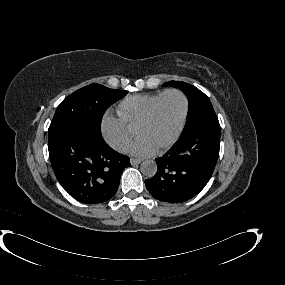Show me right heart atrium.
<instances>
[{
    "label": "right heart atrium",
    "mask_w": 285,
    "mask_h": 285,
    "mask_svg": "<svg viewBox=\"0 0 285 285\" xmlns=\"http://www.w3.org/2000/svg\"><path fill=\"white\" fill-rule=\"evenodd\" d=\"M101 133L106 142L115 150L125 152L132 142V132L120 118L105 115L101 122Z\"/></svg>",
    "instance_id": "1"
}]
</instances>
